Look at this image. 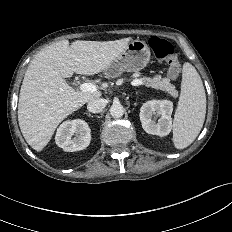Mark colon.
Wrapping results in <instances>:
<instances>
[{
    "mask_svg": "<svg viewBox=\"0 0 232 232\" xmlns=\"http://www.w3.org/2000/svg\"><path fill=\"white\" fill-rule=\"evenodd\" d=\"M149 45L155 57L168 64V76L172 79L177 78L181 72V65L172 44L163 38L153 36L149 40Z\"/></svg>",
    "mask_w": 232,
    "mask_h": 232,
    "instance_id": "5ec220e1",
    "label": "colon"
}]
</instances>
